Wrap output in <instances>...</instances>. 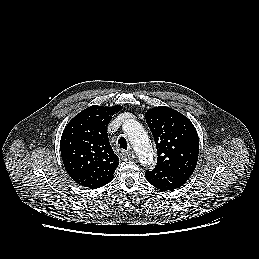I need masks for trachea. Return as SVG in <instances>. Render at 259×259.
I'll return each instance as SVG.
<instances>
[{"instance_id": "obj_1", "label": "trachea", "mask_w": 259, "mask_h": 259, "mask_svg": "<svg viewBox=\"0 0 259 259\" xmlns=\"http://www.w3.org/2000/svg\"><path fill=\"white\" fill-rule=\"evenodd\" d=\"M118 144L121 149L127 150V141L123 136L119 138Z\"/></svg>"}]
</instances>
